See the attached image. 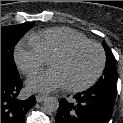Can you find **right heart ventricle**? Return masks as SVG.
Listing matches in <instances>:
<instances>
[{
    "label": "right heart ventricle",
    "mask_w": 123,
    "mask_h": 123,
    "mask_svg": "<svg viewBox=\"0 0 123 123\" xmlns=\"http://www.w3.org/2000/svg\"><path fill=\"white\" fill-rule=\"evenodd\" d=\"M29 40L35 44L46 59L67 46L89 40L83 33L68 27H53L30 35Z\"/></svg>",
    "instance_id": "1"
}]
</instances>
